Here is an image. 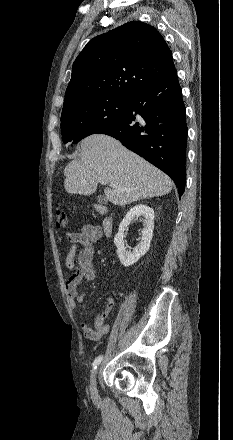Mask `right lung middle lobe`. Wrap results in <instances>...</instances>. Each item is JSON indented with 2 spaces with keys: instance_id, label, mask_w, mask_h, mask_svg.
<instances>
[{
  "instance_id": "dd1d6c3e",
  "label": "right lung middle lobe",
  "mask_w": 233,
  "mask_h": 440,
  "mask_svg": "<svg viewBox=\"0 0 233 440\" xmlns=\"http://www.w3.org/2000/svg\"><path fill=\"white\" fill-rule=\"evenodd\" d=\"M129 99L91 98L63 108L61 133L66 144L78 143L123 115Z\"/></svg>"
}]
</instances>
